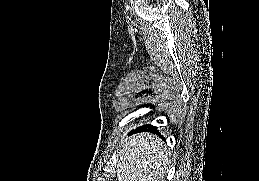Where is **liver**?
I'll list each match as a JSON object with an SVG mask.
<instances>
[{"label":"liver","mask_w":259,"mask_h":181,"mask_svg":"<svg viewBox=\"0 0 259 181\" xmlns=\"http://www.w3.org/2000/svg\"><path fill=\"white\" fill-rule=\"evenodd\" d=\"M169 156L154 134L141 133L126 138L118 153V181H157L165 174Z\"/></svg>","instance_id":"1"}]
</instances>
